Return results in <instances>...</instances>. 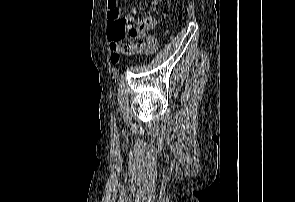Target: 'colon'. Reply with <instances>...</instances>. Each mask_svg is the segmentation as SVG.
<instances>
[{
    "label": "colon",
    "instance_id": "colon-1",
    "mask_svg": "<svg viewBox=\"0 0 295 202\" xmlns=\"http://www.w3.org/2000/svg\"><path fill=\"white\" fill-rule=\"evenodd\" d=\"M146 20H141L135 13L122 16L111 23L110 41L114 48L126 44L136 45L138 52H145L152 48L150 44L140 42L146 28Z\"/></svg>",
    "mask_w": 295,
    "mask_h": 202
}]
</instances>
